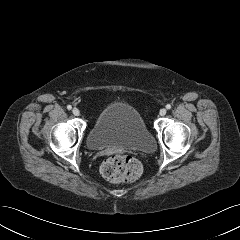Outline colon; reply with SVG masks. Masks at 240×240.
Instances as JSON below:
<instances>
[{
	"label": "colon",
	"mask_w": 240,
	"mask_h": 240,
	"mask_svg": "<svg viewBox=\"0 0 240 240\" xmlns=\"http://www.w3.org/2000/svg\"><path fill=\"white\" fill-rule=\"evenodd\" d=\"M102 176L112 182H131L141 174L140 163L127 155H109L101 165Z\"/></svg>",
	"instance_id": "5ec220e1"
}]
</instances>
